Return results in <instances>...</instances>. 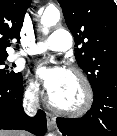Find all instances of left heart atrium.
I'll list each match as a JSON object with an SVG mask.
<instances>
[{
    "instance_id": "1",
    "label": "left heart atrium",
    "mask_w": 117,
    "mask_h": 136,
    "mask_svg": "<svg viewBox=\"0 0 117 136\" xmlns=\"http://www.w3.org/2000/svg\"><path fill=\"white\" fill-rule=\"evenodd\" d=\"M36 73L43 81L48 94L51 96L64 86L69 72L61 66H47L42 64L37 67Z\"/></svg>"
}]
</instances>
